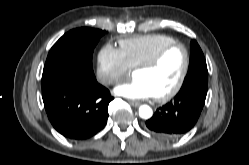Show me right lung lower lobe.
I'll list each match as a JSON object with an SVG mask.
<instances>
[{
  "label": "right lung lower lobe",
  "mask_w": 249,
  "mask_h": 165,
  "mask_svg": "<svg viewBox=\"0 0 249 165\" xmlns=\"http://www.w3.org/2000/svg\"><path fill=\"white\" fill-rule=\"evenodd\" d=\"M42 98L53 127L74 140L90 138L104 128L113 100L96 78L58 65L44 67Z\"/></svg>",
  "instance_id": "right-lung-lower-lobe-1"
}]
</instances>
